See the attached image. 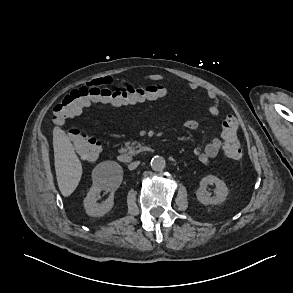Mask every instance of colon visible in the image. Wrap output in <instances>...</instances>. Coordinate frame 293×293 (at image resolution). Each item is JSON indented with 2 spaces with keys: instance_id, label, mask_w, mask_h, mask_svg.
I'll use <instances>...</instances> for the list:
<instances>
[{
  "instance_id": "5ec220e1",
  "label": "colon",
  "mask_w": 293,
  "mask_h": 293,
  "mask_svg": "<svg viewBox=\"0 0 293 293\" xmlns=\"http://www.w3.org/2000/svg\"><path fill=\"white\" fill-rule=\"evenodd\" d=\"M162 89L155 86H113L110 82H92L86 86L72 90L64 95L53 108V118L56 124L80 114L92 104L125 105L160 96ZM238 121L228 116L222 123V138L224 153L232 159L242 155L241 144L237 137ZM69 138L81 156L87 162H96L100 155L98 140L78 128L68 132Z\"/></svg>"
}]
</instances>
